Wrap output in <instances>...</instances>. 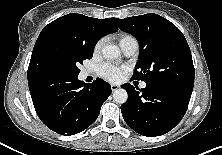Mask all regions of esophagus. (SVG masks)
Returning <instances> with one entry per match:
<instances>
[{
    "label": "esophagus",
    "mask_w": 222,
    "mask_h": 155,
    "mask_svg": "<svg viewBox=\"0 0 222 155\" xmlns=\"http://www.w3.org/2000/svg\"><path fill=\"white\" fill-rule=\"evenodd\" d=\"M119 88H120L119 85H117V84H111V89H112V91H116V90L119 89Z\"/></svg>",
    "instance_id": "esophagus-1"
}]
</instances>
